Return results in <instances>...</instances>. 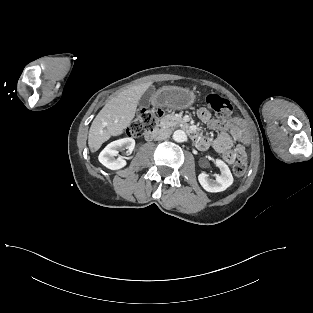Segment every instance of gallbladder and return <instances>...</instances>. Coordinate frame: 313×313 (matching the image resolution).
<instances>
[{
	"instance_id": "obj_1",
	"label": "gallbladder",
	"mask_w": 313,
	"mask_h": 313,
	"mask_svg": "<svg viewBox=\"0 0 313 313\" xmlns=\"http://www.w3.org/2000/svg\"><path fill=\"white\" fill-rule=\"evenodd\" d=\"M155 88L151 87L147 90V92L141 98V103L144 105H148L152 99Z\"/></svg>"
}]
</instances>
